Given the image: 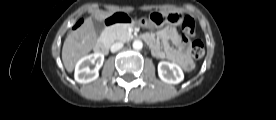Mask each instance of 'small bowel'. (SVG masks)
Masks as SVG:
<instances>
[{"instance_id":"1","label":"small bowel","mask_w":276,"mask_h":120,"mask_svg":"<svg viewBox=\"0 0 276 120\" xmlns=\"http://www.w3.org/2000/svg\"><path fill=\"white\" fill-rule=\"evenodd\" d=\"M148 39L146 43L153 55L159 59H167L180 65L184 70L190 71L194 62L188 54L187 39L173 28L159 30L156 35L144 34Z\"/></svg>"}]
</instances>
